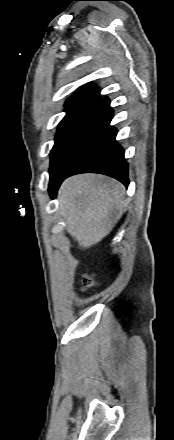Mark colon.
<instances>
[{"label":"colon","mask_w":174,"mask_h":440,"mask_svg":"<svg viewBox=\"0 0 174 440\" xmlns=\"http://www.w3.org/2000/svg\"><path fill=\"white\" fill-rule=\"evenodd\" d=\"M98 286V283L92 274H86L83 278L82 288L84 291L92 290Z\"/></svg>","instance_id":"5ec220e1"}]
</instances>
